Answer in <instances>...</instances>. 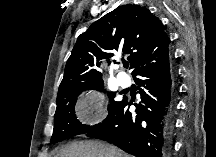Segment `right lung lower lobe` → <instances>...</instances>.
I'll return each instance as SVG.
<instances>
[{
    "label": "right lung lower lobe",
    "mask_w": 216,
    "mask_h": 157,
    "mask_svg": "<svg viewBox=\"0 0 216 157\" xmlns=\"http://www.w3.org/2000/svg\"><path fill=\"white\" fill-rule=\"evenodd\" d=\"M141 102L136 114L124 98L115 116L86 136L113 143L135 157H168L174 129L176 84L168 50L135 74Z\"/></svg>",
    "instance_id": "right-lung-lower-lobe-1"
}]
</instances>
